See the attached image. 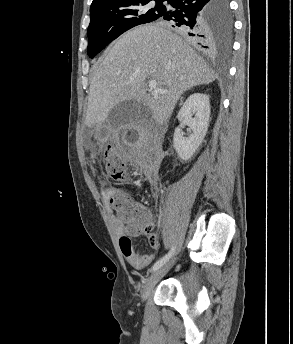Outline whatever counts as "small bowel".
<instances>
[{"instance_id":"c3829d8e","label":"small bowel","mask_w":293,"mask_h":344,"mask_svg":"<svg viewBox=\"0 0 293 344\" xmlns=\"http://www.w3.org/2000/svg\"><path fill=\"white\" fill-rule=\"evenodd\" d=\"M116 192L114 187H108L103 191V198L107 206V211L110 216L111 225L115 233L119 248L122 255L125 257L127 262L135 269H144L153 259V254H138L133 246L132 240L124 233V225L113 213L110 208V198ZM149 242L154 249L159 247V235L152 233L149 235Z\"/></svg>"}]
</instances>
